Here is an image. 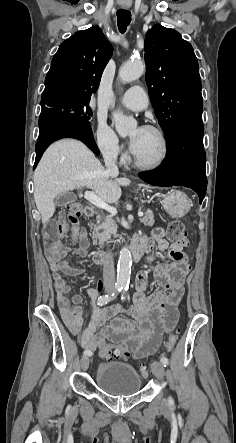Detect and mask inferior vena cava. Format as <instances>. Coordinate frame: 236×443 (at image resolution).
<instances>
[{
    "instance_id": "602c4592",
    "label": "inferior vena cava",
    "mask_w": 236,
    "mask_h": 443,
    "mask_svg": "<svg viewBox=\"0 0 236 443\" xmlns=\"http://www.w3.org/2000/svg\"><path fill=\"white\" fill-rule=\"evenodd\" d=\"M106 171L109 175H117L119 173L117 167V153L113 151H106L103 154ZM103 281L104 287L107 293H112L115 290V269L113 257L110 253H107L103 264Z\"/></svg>"
}]
</instances>
